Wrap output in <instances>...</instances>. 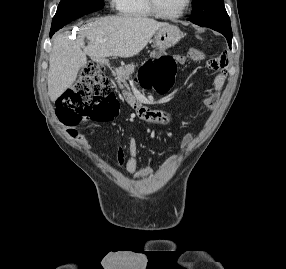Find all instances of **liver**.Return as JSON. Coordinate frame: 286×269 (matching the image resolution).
I'll return each instance as SVG.
<instances>
[{"label":"liver","instance_id":"6515ba94","mask_svg":"<svg viewBox=\"0 0 286 269\" xmlns=\"http://www.w3.org/2000/svg\"><path fill=\"white\" fill-rule=\"evenodd\" d=\"M168 25L145 17H104L81 28L75 40L67 33L54 38L49 58L48 95L55 102L76 80L78 71L87 63L107 57L129 58L140 53L152 36ZM84 38L88 39L85 46ZM106 39L100 43L98 40Z\"/></svg>","mask_w":286,"mask_h":269}]
</instances>
